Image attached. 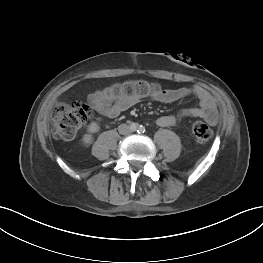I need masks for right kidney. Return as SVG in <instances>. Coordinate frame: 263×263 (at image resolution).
<instances>
[{"mask_svg":"<svg viewBox=\"0 0 263 263\" xmlns=\"http://www.w3.org/2000/svg\"><path fill=\"white\" fill-rule=\"evenodd\" d=\"M99 131V126L96 122H92L89 126H88V132L91 134V133H95ZM90 134H86L84 137H83V141L86 143V144H89L92 142V137Z\"/></svg>","mask_w":263,"mask_h":263,"instance_id":"right-kidney-1","label":"right kidney"}]
</instances>
